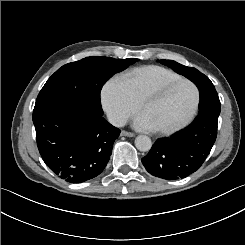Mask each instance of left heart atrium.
Listing matches in <instances>:
<instances>
[{"mask_svg":"<svg viewBox=\"0 0 245 245\" xmlns=\"http://www.w3.org/2000/svg\"><path fill=\"white\" fill-rule=\"evenodd\" d=\"M135 127L140 129V130H150V129H154L145 119V117L139 113L135 119Z\"/></svg>","mask_w":245,"mask_h":245,"instance_id":"1","label":"left heart atrium"}]
</instances>
